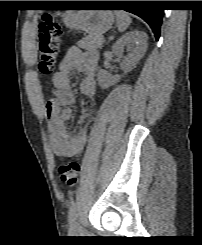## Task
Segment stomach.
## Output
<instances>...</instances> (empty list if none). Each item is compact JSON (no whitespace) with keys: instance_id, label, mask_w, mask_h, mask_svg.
Listing matches in <instances>:
<instances>
[{"instance_id":"stomach-1","label":"stomach","mask_w":202,"mask_h":245,"mask_svg":"<svg viewBox=\"0 0 202 245\" xmlns=\"http://www.w3.org/2000/svg\"><path fill=\"white\" fill-rule=\"evenodd\" d=\"M114 19V14L109 10H84L66 13L63 22L70 29H79L89 35L101 36L111 28Z\"/></svg>"}]
</instances>
